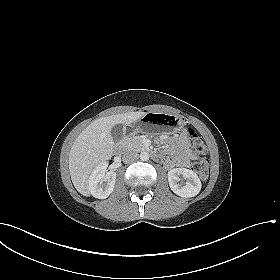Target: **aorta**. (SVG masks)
<instances>
[{
  "mask_svg": "<svg viewBox=\"0 0 280 280\" xmlns=\"http://www.w3.org/2000/svg\"><path fill=\"white\" fill-rule=\"evenodd\" d=\"M140 159H141L142 161H147V160H149V153H148V152H141V153H140Z\"/></svg>",
  "mask_w": 280,
  "mask_h": 280,
  "instance_id": "aorta-1",
  "label": "aorta"
}]
</instances>
